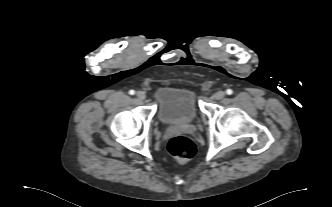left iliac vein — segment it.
<instances>
[{
	"mask_svg": "<svg viewBox=\"0 0 332 207\" xmlns=\"http://www.w3.org/2000/svg\"><path fill=\"white\" fill-rule=\"evenodd\" d=\"M224 96H225L224 91H217L216 93H214L213 98L216 100H221L222 98H224Z\"/></svg>",
	"mask_w": 332,
	"mask_h": 207,
	"instance_id": "obj_1",
	"label": "left iliac vein"
}]
</instances>
